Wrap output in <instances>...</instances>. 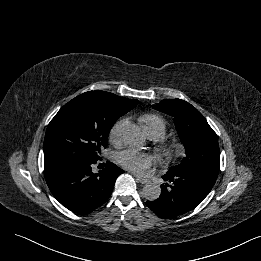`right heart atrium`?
Listing matches in <instances>:
<instances>
[{
    "label": "right heart atrium",
    "mask_w": 261,
    "mask_h": 261,
    "mask_svg": "<svg viewBox=\"0 0 261 261\" xmlns=\"http://www.w3.org/2000/svg\"><path fill=\"white\" fill-rule=\"evenodd\" d=\"M122 121H116L109 130L108 138L113 144H118L121 139Z\"/></svg>",
    "instance_id": "d8ad5b80"
}]
</instances>
